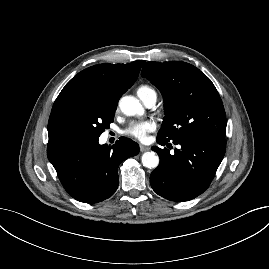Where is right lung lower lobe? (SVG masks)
I'll return each instance as SVG.
<instances>
[{
  "instance_id": "98d812e1",
  "label": "right lung lower lobe",
  "mask_w": 269,
  "mask_h": 269,
  "mask_svg": "<svg viewBox=\"0 0 269 269\" xmlns=\"http://www.w3.org/2000/svg\"><path fill=\"white\" fill-rule=\"evenodd\" d=\"M139 153V146L121 137L112 147L98 139L76 140L48 147L47 156L58 178L74 199L94 204L111 197L118 187V166Z\"/></svg>"
}]
</instances>
